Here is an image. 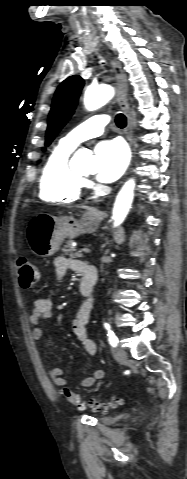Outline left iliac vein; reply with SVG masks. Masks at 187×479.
I'll list each match as a JSON object with an SVG mask.
<instances>
[{
  "mask_svg": "<svg viewBox=\"0 0 187 479\" xmlns=\"http://www.w3.org/2000/svg\"><path fill=\"white\" fill-rule=\"evenodd\" d=\"M112 354L114 358L120 362H125L127 360V353L121 347H114L112 348Z\"/></svg>",
  "mask_w": 187,
  "mask_h": 479,
  "instance_id": "1",
  "label": "left iliac vein"
}]
</instances>
